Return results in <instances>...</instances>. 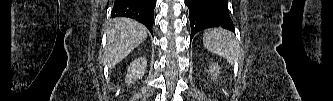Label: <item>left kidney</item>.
<instances>
[{
  "mask_svg": "<svg viewBox=\"0 0 333 101\" xmlns=\"http://www.w3.org/2000/svg\"><path fill=\"white\" fill-rule=\"evenodd\" d=\"M220 72V66L217 63H212L210 66V73L212 74V78L215 80L218 77Z\"/></svg>",
  "mask_w": 333,
  "mask_h": 101,
  "instance_id": "left-kidney-1",
  "label": "left kidney"
}]
</instances>
